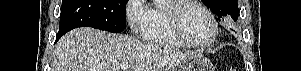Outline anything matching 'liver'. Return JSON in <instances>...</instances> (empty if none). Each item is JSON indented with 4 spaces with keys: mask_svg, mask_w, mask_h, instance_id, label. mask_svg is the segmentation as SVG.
<instances>
[{
    "mask_svg": "<svg viewBox=\"0 0 301 71\" xmlns=\"http://www.w3.org/2000/svg\"><path fill=\"white\" fill-rule=\"evenodd\" d=\"M190 55L83 27L68 32L56 44L51 71H168Z\"/></svg>",
    "mask_w": 301,
    "mask_h": 71,
    "instance_id": "1",
    "label": "liver"
}]
</instances>
